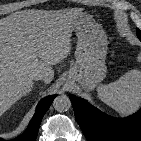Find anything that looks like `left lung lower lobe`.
I'll return each instance as SVG.
<instances>
[{
    "mask_svg": "<svg viewBox=\"0 0 141 141\" xmlns=\"http://www.w3.org/2000/svg\"><path fill=\"white\" fill-rule=\"evenodd\" d=\"M141 41V33L137 34ZM74 113L88 141H141V109L126 118H112L87 101L70 95Z\"/></svg>",
    "mask_w": 141,
    "mask_h": 141,
    "instance_id": "left-lung-lower-lobe-1",
    "label": "left lung lower lobe"
}]
</instances>
